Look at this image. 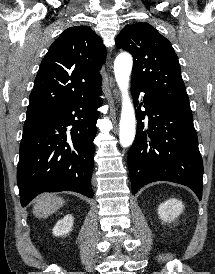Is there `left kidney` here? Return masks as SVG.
I'll list each match as a JSON object with an SVG mask.
<instances>
[{
	"mask_svg": "<svg viewBox=\"0 0 215 274\" xmlns=\"http://www.w3.org/2000/svg\"><path fill=\"white\" fill-rule=\"evenodd\" d=\"M183 204L177 199H169L159 205L158 215L163 222L174 221L183 211Z\"/></svg>",
	"mask_w": 215,
	"mask_h": 274,
	"instance_id": "left-kidney-1",
	"label": "left kidney"
}]
</instances>
